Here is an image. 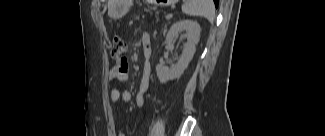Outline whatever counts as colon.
Here are the masks:
<instances>
[{
	"mask_svg": "<svg viewBox=\"0 0 325 136\" xmlns=\"http://www.w3.org/2000/svg\"><path fill=\"white\" fill-rule=\"evenodd\" d=\"M127 50V43L126 41L119 36H116L113 40V45L111 49V54L114 58L121 59L122 55Z\"/></svg>",
	"mask_w": 325,
	"mask_h": 136,
	"instance_id": "1",
	"label": "colon"
}]
</instances>
